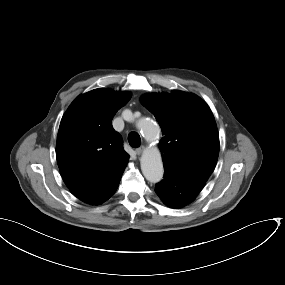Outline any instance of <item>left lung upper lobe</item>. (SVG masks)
Returning <instances> with one entry per match:
<instances>
[{"label": "left lung upper lobe", "instance_id": "1", "mask_svg": "<svg viewBox=\"0 0 285 285\" xmlns=\"http://www.w3.org/2000/svg\"><path fill=\"white\" fill-rule=\"evenodd\" d=\"M141 102L164 135L159 145L164 168L206 182L219 154L217 126L209 106L198 96L179 90L146 94Z\"/></svg>", "mask_w": 285, "mask_h": 285}]
</instances>
